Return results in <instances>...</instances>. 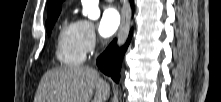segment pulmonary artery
<instances>
[{
	"label": "pulmonary artery",
	"instance_id": "obj_1",
	"mask_svg": "<svg viewBox=\"0 0 221 102\" xmlns=\"http://www.w3.org/2000/svg\"><path fill=\"white\" fill-rule=\"evenodd\" d=\"M108 2H111V1H113V0H107Z\"/></svg>",
	"mask_w": 221,
	"mask_h": 102
}]
</instances>
